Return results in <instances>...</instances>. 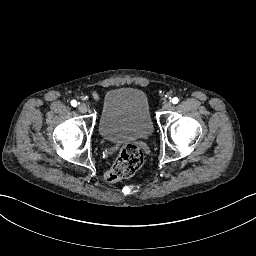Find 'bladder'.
<instances>
[{"label":"bladder","mask_w":256,"mask_h":256,"mask_svg":"<svg viewBox=\"0 0 256 256\" xmlns=\"http://www.w3.org/2000/svg\"><path fill=\"white\" fill-rule=\"evenodd\" d=\"M99 133L109 142L129 138H148L152 123L144 93L134 88H115L105 93L99 121Z\"/></svg>","instance_id":"1"}]
</instances>
